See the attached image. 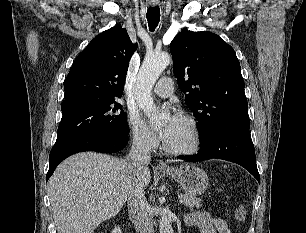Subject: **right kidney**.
<instances>
[{
  "label": "right kidney",
  "mask_w": 306,
  "mask_h": 233,
  "mask_svg": "<svg viewBox=\"0 0 306 233\" xmlns=\"http://www.w3.org/2000/svg\"><path fill=\"white\" fill-rule=\"evenodd\" d=\"M112 233H121V229L120 227H115L113 230H112Z\"/></svg>",
  "instance_id": "1"
}]
</instances>
